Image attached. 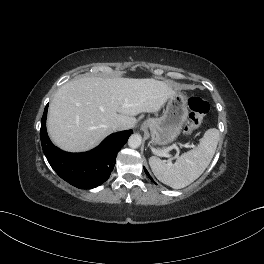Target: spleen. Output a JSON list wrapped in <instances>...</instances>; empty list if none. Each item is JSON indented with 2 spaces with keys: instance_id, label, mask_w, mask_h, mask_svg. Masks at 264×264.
Instances as JSON below:
<instances>
[{
  "instance_id": "3e777b00",
  "label": "spleen",
  "mask_w": 264,
  "mask_h": 264,
  "mask_svg": "<svg viewBox=\"0 0 264 264\" xmlns=\"http://www.w3.org/2000/svg\"><path fill=\"white\" fill-rule=\"evenodd\" d=\"M219 140V131L216 128L208 129L197 148L177 157L174 164L164 163L161 159L152 156L149 164L156 178L162 183L181 189L200 177L210 164Z\"/></svg>"
}]
</instances>
